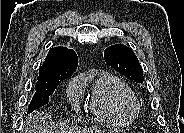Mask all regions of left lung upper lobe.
I'll list each match as a JSON object with an SVG mask.
<instances>
[{"label": "left lung upper lobe", "mask_w": 184, "mask_h": 133, "mask_svg": "<svg viewBox=\"0 0 184 133\" xmlns=\"http://www.w3.org/2000/svg\"><path fill=\"white\" fill-rule=\"evenodd\" d=\"M104 58L106 63L116 71L136 82L143 83V69L137 56L126 45L116 44L105 49Z\"/></svg>", "instance_id": "left-lung-upper-lobe-1"}]
</instances>
